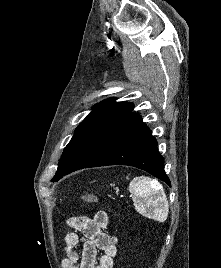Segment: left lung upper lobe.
Masks as SVG:
<instances>
[{"instance_id": "left-lung-upper-lobe-1", "label": "left lung upper lobe", "mask_w": 221, "mask_h": 268, "mask_svg": "<svg viewBox=\"0 0 221 268\" xmlns=\"http://www.w3.org/2000/svg\"><path fill=\"white\" fill-rule=\"evenodd\" d=\"M133 108L132 103L115 102V98L96 104L92 112L76 128L74 136L63 151L52 181H58L60 176L104 129L123 115L131 112Z\"/></svg>"}]
</instances>
